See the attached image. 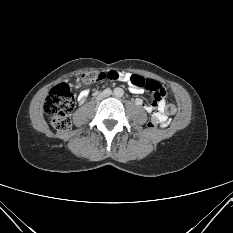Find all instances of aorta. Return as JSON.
Masks as SVG:
<instances>
[{"label": "aorta", "mask_w": 233, "mask_h": 233, "mask_svg": "<svg viewBox=\"0 0 233 233\" xmlns=\"http://www.w3.org/2000/svg\"><path fill=\"white\" fill-rule=\"evenodd\" d=\"M114 95L116 97H122L124 95V90L122 88H115Z\"/></svg>", "instance_id": "1"}]
</instances>
